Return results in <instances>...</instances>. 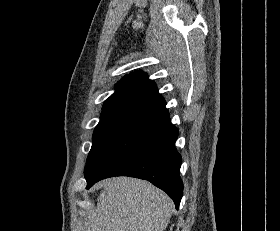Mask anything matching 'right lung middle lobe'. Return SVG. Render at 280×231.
Wrapping results in <instances>:
<instances>
[{"mask_svg":"<svg viewBox=\"0 0 280 231\" xmlns=\"http://www.w3.org/2000/svg\"><path fill=\"white\" fill-rule=\"evenodd\" d=\"M132 126H134L133 123L124 120H100L94 130L93 144L85 168L102 148Z\"/></svg>","mask_w":280,"mask_h":231,"instance_id":"obj_1","label":"right lung middle lobe"}]
</instances>
